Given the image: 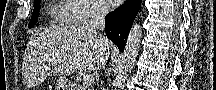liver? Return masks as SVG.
Returning a JSON list of instances; mask_svg holds the SVG:
<instances>
[{
  "instance_id": "6515ba94",
  "label": "liver",
  "mask_w": 216,
  "mask_h": 90,
  "mask_svg": "<svg viewBox=\"0 0 216 90\" xmlns=\"http://www.w3.org/2000/svg\"><path fill=\"white\" fill-rule=\"evenodd\" d=\"M102 44L99 36L88 32L81 22H72L65 28H47L35 54L46 72L69 76L75 70H101L105 66Z\"/></svg>"
}]
</instances>
